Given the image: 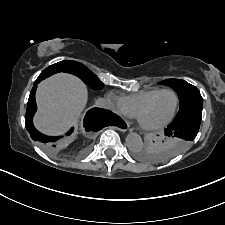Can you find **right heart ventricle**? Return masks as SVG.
I'll return each instance as SVG.
<instances>
[{"mask_svg":"<svg viewBox=\"0 0 225 225\" xmlns=\"http://www.w3.org/2000/svg\"><path fill=\"white\" fill-rule=\"evenodd\" d=\"M160 88H152V89H146V90H140L138 92H135L133 94H129L126 96H123L121 98L124 107L127 111V113L131 116L137 115V112L139 108L156 92H158Z\"/></svg>","mask_w":225,"mask_h":225,"instance_id":"e07e8e85","label":"right heart ventricle"}]
</instances>
